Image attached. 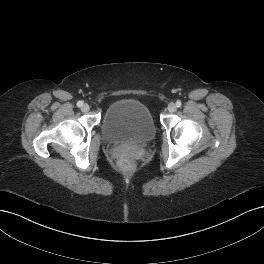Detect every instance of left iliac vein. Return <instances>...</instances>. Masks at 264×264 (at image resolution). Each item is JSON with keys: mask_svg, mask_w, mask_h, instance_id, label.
Instances as JSON below:
<instances>
[{"mask_svg": "<svg viewBox=\"0 0 264 264\" xmlns=\"http://www.w3.org/2000/svg\"><path fill=\"white\" fill-rule=\"evenodd\" d=\"M177 110V107L174 103H169L168 105V111L171 113H174Z\"/></svg>", "mask_w": 264, "mask_h": 264, "instance_id": "obj_1", "label": "left iliac vein"}]
</instances>
